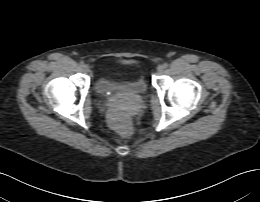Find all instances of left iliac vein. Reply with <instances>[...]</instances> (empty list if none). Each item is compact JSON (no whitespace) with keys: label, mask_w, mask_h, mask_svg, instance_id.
<instances>
[{"label":"left iliac vein","mask_w":260,"mask_h":202,"mask_svg":"<svg viewBox=\"0 0 260 202\" xmlns=\"http://www.w3.org/2000/svg\"><path fill=\"white\" fill-rule=\"evenodd\" d=\"M164 67H163V65H159L158 67H157V72L159 73V74H162L163 73V71H164Z\"/></svg>","instance_id":"obj_1"}]
</instances>
